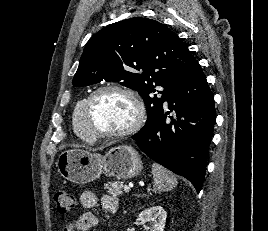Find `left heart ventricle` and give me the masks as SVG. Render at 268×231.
<instances>
[{"label": "left heart ventricle", "instance_id": "left-heart-ventricle-1", "mask_svg": "<svg viewBox=\"0 0 268 231\" xmlns=\"http://www.w3.org/2000/svg\"><path fill=\"white\" fill-rule=\"evenodd\" d=\"M135 118V107L125 95L103 92L92 102L90 123L95 131H118Z\"/></svg>", "mask_w": 268, "mask_h": 231}]
</instances>
